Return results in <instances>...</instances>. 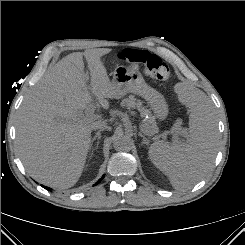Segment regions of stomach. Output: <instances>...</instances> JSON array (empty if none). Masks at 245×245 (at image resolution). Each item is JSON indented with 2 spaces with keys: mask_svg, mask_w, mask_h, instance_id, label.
<instances>
[{
  "mask_svg": "<svg viewBox=\"0 0 245 245\" xmlns=\"http://www.w3.org/2000/svg\"><path fill=\"white\" fill-rule=\"evenodd\" d=\"M111 84L115 88L117 98L127 93L137 94L147 101L158 120L163 121L167 117L168 105L164 96L149 86L138 71L128 66H117Z\"/></svg>",
  "mask_w": 245,
  "mask_h": 245,
  "instance_id": "1",
  "label": "stomach"
}]
</instances>
